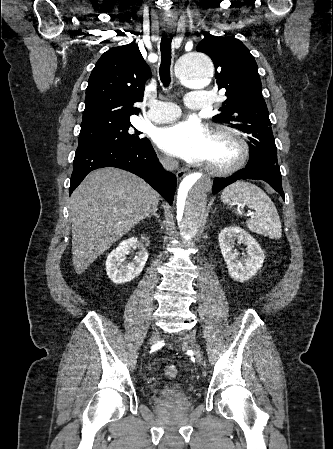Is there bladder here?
Returning a JSON list of instances; mask_svg holds the SVG:
<instances>
[{
	"label": "bladder",
	"mask_w": 333,
	"mask_h": 449,
	"mask_svg": "<svg viewBox=\"0 0 333 449\" xmlns=\"http://www.w3.org/2000/svg\"><path fill=\"white\" fill-rule=\"evenodd\" d=\"M187 390L178 383L165 384L153 390L152 395L155 398H163L167 396H187Z\"/></svg>",
	"instance_id": "1"
}]
</instances>
